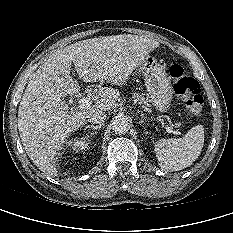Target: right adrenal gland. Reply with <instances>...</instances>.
<instances>
[{"label": "right adrenal gland", "mask_w": 233, "mask_h": 233, "mask_svg": "<svg viewBox=\"0 0 233 233\" xmlns=\"http://www.w3.org/2000/svg\"><path fill=\"white\" fill-rule=\"evenodd\" d=\"M101 124L100 125H96V126H94V125H87L86 126V128H90V129H94V130H98V129H100L101 128Z\"/></svg>", "instance_id": "1"}]
</instances>
